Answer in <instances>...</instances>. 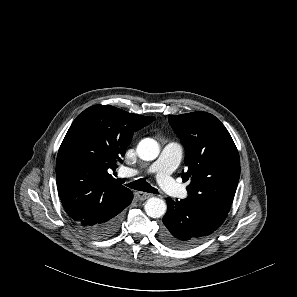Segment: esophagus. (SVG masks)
<instances>
[{"instance_id": "esophagus-1", "label": "esophagus", "mask_w": 297, "mask_h": 297, "mask_svg": "<svg viewBox=\"0 0 297 297\" xmlns=\"http://www.w3.org/2000/svg\"><path fill=\"white\" fill-rule=\"evenodd\" d=\"M136 196L139 200L144 201V200L150 198L152 196V194L138 191V192H136Z\"/></svg>"}]
</instances>
